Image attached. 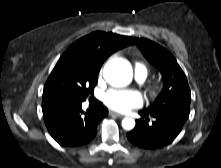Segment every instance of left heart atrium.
<instances>
[{
    "instance_id": "left-heart-atrium-1",
    "label": "left heart atrium",
    "mask_w": 221,
    "mask_h": 168,
    "mask_svg": "<svg viewBox=\"0 0 221 168\" xmlns=\"http://www.w3.org/2000/svg\"><path fill=\"white\" fill-rule=\"evenodd\" d=\"M104 103L112 110L126 113L131 109L140 107L142 96L134 90L111 89L104 95Z\"/></svg>"
}]
</instances>
